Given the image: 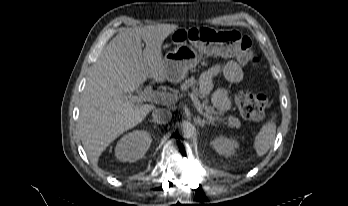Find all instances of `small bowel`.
<instances>
[{"label": "small bowel", "instance_id": "small-bowel-1", "mask_svg": "<svg viewBox=\"0 0 348 206\" xmlns=\"http://www.w3.org/2000/svg\"><path fill=\"white\" fill-rule=\"evenodd\" d=\"M223 76L230 83H238L243 78L241 67L233 60L219 62L211 66L200 77L199 85L202 95H208L213 88V80L217 76ZM218 110L226 111L231 105L230 95L225 87L218 88L212 97Z\"/></svg>", "mask_w": 348, "mask_h": 206}]
</instances>
